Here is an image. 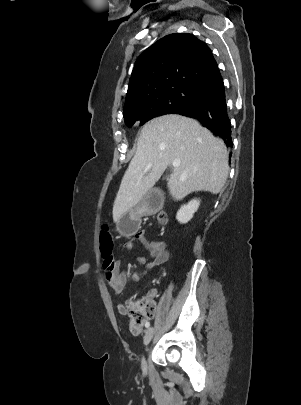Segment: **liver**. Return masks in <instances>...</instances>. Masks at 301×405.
I'll return each mask as SVG.
<instances>
[{
	"instance_id": "6515ba94",
	"label": "liver",
	"mask_w": 301,
	"mask_h": 405,
	"mask_svg": "<svg viewBox=\"0 0 301 405\" xmlns=\"http://www.w3.org/2000/svg\"><path fill=\"white\" fill-rule=\"evenodd\" d=\"M174 160L168 188L175 200L194 191L217 194L229 173L224 142L196 120L180 115H164L146 123L140 133L137 150L121 181L113 205V221L132 209L156 184ZM151 168L145 175V167Z\"/></svg>"
}]
</instances>
